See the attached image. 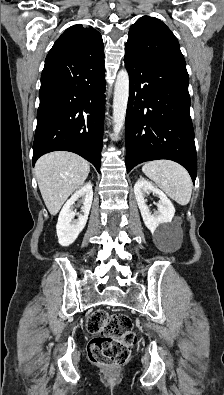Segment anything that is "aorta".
<instances>
[{"mask_svg": "<svg viewBox=\"0 0 224 395\" xmlns=\"http://www.w3.org/2000/svg\"><path fill=\"white\" fill-rule=\"evenodd\" d=\"M129 98V74L125 69L118 72L113 97V131L118 137L124 127Z\"/></svg>", "mask_w": 224, "mask_h": 395, "instance_id": "obj_1", "label": "aorta"}]
</instances>
